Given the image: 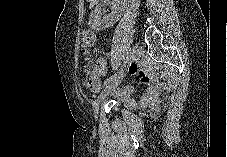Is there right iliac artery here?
<instances>
[{"label":"right iliac artery","mask_w":227,"mask_h":157,"mask_svg":"<svg viewBox=\"0 0 227 157\" xmlns=\"http://www.w3.org/2000/svg\"><path fill=\"white\" fill-rule=\"evenodd\" d=\"M129 56H130V51H125V54H124V61L125 63L129 61ZM124 66V65H123ZM121 68V67H120ZM115 75L111 76L110 78H108L105 82H104V85H107L108 83H110L113 79H115L118 74L120 73V70L119 69H116L115 70Z\"/></svg>","instance_id":"1"}]
</instances>
